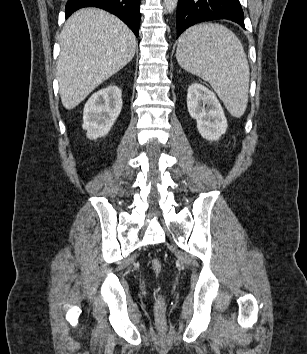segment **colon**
<instances>
[{
    "mask_svg": "<svg viewBox=\"0 0 307 354\" xmlns=\"http://www.w3.org/2000/svg\"><path fill=\"white\" fill-rule=\"evenodd\" d=\"M151 268L155 275H159L162 271L163 264L161 260L155 258L151 261ZM165 303L161 296H157L156 298V311L159 320H162L164 317Z\"/></svg>",
    "mask_w": 307,
    "mask_h": 354,
    "instance_id": "colon-1",
    "label": "colon"
}]
</instances>
